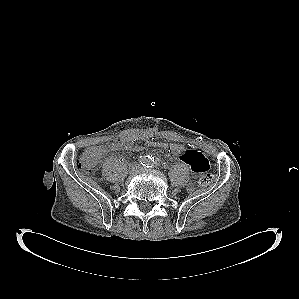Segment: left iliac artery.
<instances>
[{"label": "left iliac artery", "mask_w": 299, "mask_h": 299, "mask_svg": "<svg viewBox=\"0 0 299 299\" xmlns=\"http://www.w3.org/2000/svg\"><path fill=\"white\" fill-rule=\"evenodd\" d=\"M147 165H148L147 167H152L154 165H158V161L157 160L154 161V159H153L152 161H149V163Z\"/></svg>", "instance_id": "obj_1"}]
</instances>
